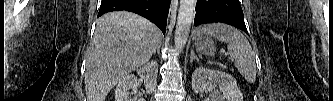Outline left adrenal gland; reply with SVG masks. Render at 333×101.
Masks as SVG:
<instances>
[{"label":"left adrenal gland","mask_w":333,"mask_h":101,"mask_svg":"<svg viewBox=\"0 0 333 101\" xmlns=\"http://www.w3.org/2000/svg\"><path fill=\"white\" fill-rule=\"evenodd\" d=\"M196 59L197 62H199V58L195 55L194 50L191 49V55H190V63H193V61Z\"/></svg>","instance_id":"obj_1"}]
</instances>
